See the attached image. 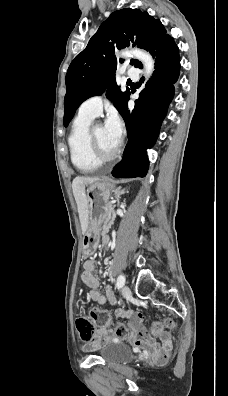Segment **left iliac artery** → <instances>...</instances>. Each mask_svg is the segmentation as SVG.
<instances>
[{"mask_svg": "<svg viewBox=\"0 0 228 396\" xmlns=\"http://www.w3.org/2000/svg\"><path fill=\"white\" fill-rule=\"evenodd\" d=\"M124 284H125V276L121 274L117 278V288L118 289L122 288Z\"/></svg>", "mask_w": 228, "mask_h": 396, "instance_id": "obj_1", "label": "left iliac artery"}]
</instances>
